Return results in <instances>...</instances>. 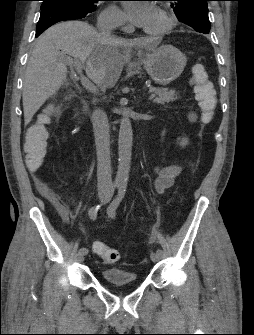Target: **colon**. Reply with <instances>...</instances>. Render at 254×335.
Listing matches in <instances>:
<instances>
[{
	"instance_id": "5ec220e1",
	"label": "colon",
	"mask_w": 254,
	"mask_h": 335,
	"mask_svg": "<svg viewBox=\"0 0 254 335\" xmlns=\"http://www.w3.org/2000/svg\"><path fill=\"white\" fill-rule=\"evenodd\" d=\"M192 86L195 92L196 100L202 113V120L209 123L217 108L216 92L212 82L208 78V74L202 65L196 64L193 67ZM49 108L39 122L35 123L28 132V141H26V151L24 165L26 172H43L47 151L45 143L48 131ZM97 254L108 263H114L119 260V253L116 249L107 246H99L95 248Z\"/></svg>"
}]
</instances>
